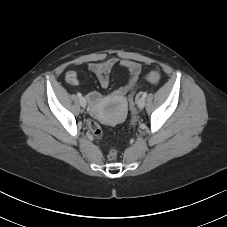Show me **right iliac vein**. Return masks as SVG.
<instances>
[{
	"label": "right iliac vein",
	"mask_w": 227,
	"mask_h": 227,
	"mask_svg": "<svg viewBox=\"0 0 227 227\" xmlns=\"http://www.w3.org/2000/svg\"><path fill=\"white\" fill-rule=\"evenodd\" d=\"M79 102H80V105L82 107H84V108L86 107L87 101H86V99L84 97H81L80 100H79Z\"/></svg>",
	"instance_id": "63e3f726"
}]
</instances>
